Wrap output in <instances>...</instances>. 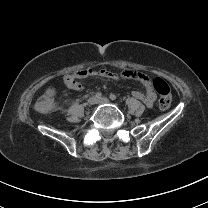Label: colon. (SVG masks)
Wrapping results in <instances>:
<instances>
[{
    "mask_svg": "<svg viewBox=\"0 0 208 208\" xmlns=\"http://www.w3.org/2000/svg\"><path fill=\"white\" fill-rule=\"evenodd\" d=\"M153 87L158 93V107L166 110L171 106L172 93L168 83L161 77L153 80ZM58 96V89L55 86H48L45 89V96L39 98L35 102V107L42 113H53L56 110L54 99Z\"/></svg>",
    "mask_w": 208,
    "mask_h": 208,
    "instance_id": "obj_1",
    "label": "colon"
}]
</instances>
